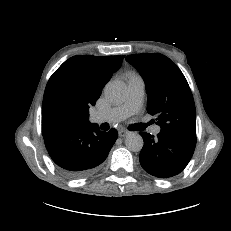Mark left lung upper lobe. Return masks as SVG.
<instances>
[{
	"label": "left lung upper lobe",
	"instance_id": "obj_1",
	"mask_svg": "<svg viewBox=\"0 0 231 231\" xmlns=\"http://www.w3.org/2000/svg\"><path fill=\"white\" fill-rule=\"evenodd\" d=\"M145 81L147 112L156 116L161 131L196 136V111L192 92L180 69L160 53L126 57Z\"/></svg>",
	"mask_w": 231,
	"mask_h": 231
}]
</instances>
